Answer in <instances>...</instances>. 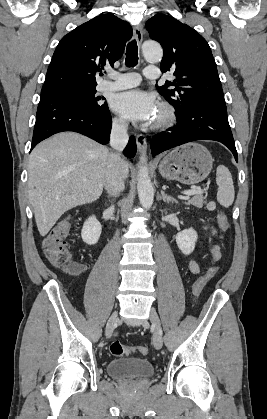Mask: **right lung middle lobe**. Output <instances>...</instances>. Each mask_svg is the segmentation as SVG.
<instances>
[{
    "instance_id": "1",
    "label": "right lung middle lobe",
    "mask_w": 267,
    "mask_h": 419,
    "mask_svg": "<svg viewBox=\"0 0 267 419\" xmlns=\"http://www.w3.org/2000/svg\"><path fill=\"white\" fill-rule=\"evenodd\" d=\"M51 93L71 99L90 110H100L107 106L106 103L101 102V100H104V98L95 96V87L69 85Z\"/></svg>"
}]
</instances>
